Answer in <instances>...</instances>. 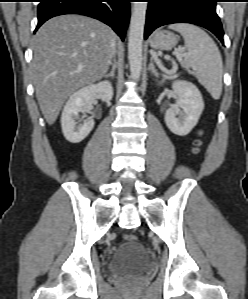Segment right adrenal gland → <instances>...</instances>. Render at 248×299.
Wrapping results in <instances>:
<instances>
[{"label": "right adrenal gland", "mask_w": 248, "mask_h": 299, "mask_svg": "<svg viewBox=\"0 0 248 299\" xmlns=\"http://www.w3.org/2000/svg\"><path fill=\"white\" fill-rule=\"evenodd\" d=\"M116 68H117V64H116V62H114V63L112 64V69H111L110 73H107V74L105 75V77H106V78H109V77L114 78V77H115V71H116Z\"/></svg>", "instance_id": "1"}]
</instances>
